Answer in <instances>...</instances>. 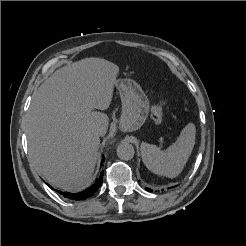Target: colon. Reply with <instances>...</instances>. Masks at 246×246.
<instances>
[{
	"label": "colon",
	"mask_w": 246,
	"mask_h": 246,
	"mask_svg": "<svg viewBox=\"0 0 246 246\" xmlns=\"http://www.w3.org/2000/svg\"><path fill=\"white\" fill-rule=\"evenodd\" d=\"M160 95H163L162 90L160 91ZM164 107L165 101L161 100L152 108L151 117L156 124H160L164 120Z\"/></svg>",
	"instance_id": "obj_1"
}]
</instances>
